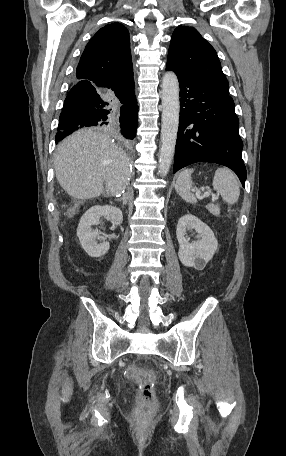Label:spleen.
Wrapping results in <instances>:
<instances>
[{
	"label": "spleen",
	"mask_w": 286,
	"mask_h": 456,
	"mask_svg": "<svg viewBox=\"0 0 286 456\" xmlns=\"http://www.w3.org/2000/svg\"><path fill=\"white\" fill-rule=\"evenodd\" d=\"M193 169L181 171L176 181V192L186 201L192 204L197 202V197L191 193L192 181L191 174ZM213 188L220 193L222 199L227 204H234L240 195V183L237 176L227 168H218L213 178Z\"/></svg>",
	"instance_id": "1"
}]
</instances>
